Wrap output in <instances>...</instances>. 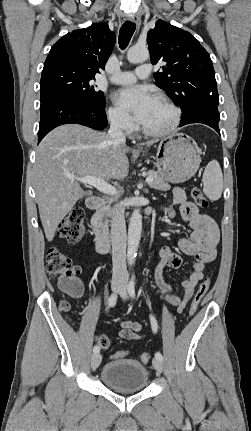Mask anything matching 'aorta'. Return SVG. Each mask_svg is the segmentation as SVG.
<instances>
[{
  "label": "aorta",
  "mask_w": 251,
  "mask_h": 431,
  "mask_svg": "<svg viewBox=\"0 0 251 431\" xmlns=\"http://www.w3.org/2000/svg\"><path fill=\"white\" fill-rule=\"evenodd\" d=\"M149 58V51L146 47H131L127 52V59L131 63H141ZM142 232V216L138 209H135L130 217L128 226L127 260L130 265L134 263L137 255Z\"/></svg>",
  "instance_id": "obj_1"
}]
</instances>
